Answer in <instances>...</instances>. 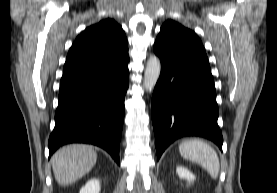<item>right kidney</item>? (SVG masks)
<instances>
[{"label": "right kidney", "instance_id": "1", "mask_svg": "<svg viewBox=\"0 0 277 193\" xmlns=\"http://www.w3.org/2000/svg\"><path fill=\"white\" fill-rule=\"evenodd\" d=\"M100 182L98 179L93 178L89 180L85 186L80 189L79 193H100Z\"/></svg>", "mask_w": 277, "mask_h": 193}]
</instances>
